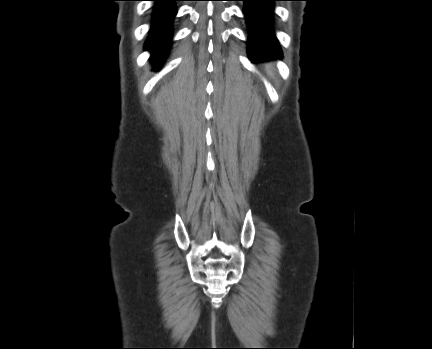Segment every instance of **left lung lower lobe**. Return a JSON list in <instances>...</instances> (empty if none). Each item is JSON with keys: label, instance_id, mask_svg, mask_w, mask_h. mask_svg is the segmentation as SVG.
<instances>
[{"label": "left lung lower lobe", "instance_id": "1", "mask_svg": "<svg viewBox=\"0 0 432 349\" xmlns=\"http://www.w3.org/2000/svg\"><path fill=\"white\" fill-rule=\"evenodd\" d=\"M245 2L244 14L250 37L248 50L255 61L281 58L282 52L272 30L273 2L278 0H241Z\"/></svg>", "mask_w": 432, "mask_h": 349}]
</instances>
